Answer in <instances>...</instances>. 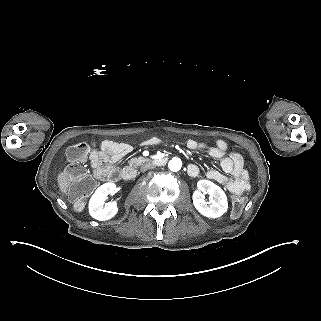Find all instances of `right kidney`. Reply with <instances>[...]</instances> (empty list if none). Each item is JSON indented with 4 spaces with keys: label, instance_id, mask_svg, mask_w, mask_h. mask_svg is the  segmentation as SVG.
<instances>
[{
    "label": "right kidney",
    "instance_id": "right-kidney-1",
    "mask_svg": "<svg viewBox=\"0 0 321 321\" xmlns=\"http://www.w3.org/2000/svg\"><path fill=\"white\" fill-rule=\"evenodd\" d=\"M115 188L116 185L114 183H105L97 188L88 204L89 213L92 218L98 221H106L118 213L119 208L115 202L105 203L114 194Z\"/></svg>",
    "mask_w": 321,
    "mask_h": 321
}]
</instances>
